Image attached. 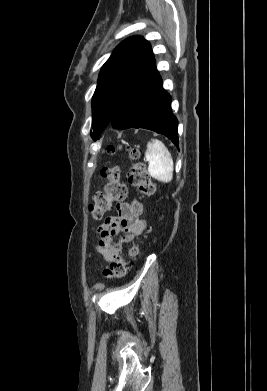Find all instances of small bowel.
<instances>
[{"mask_svg": "<svg viewBox=\"0 0 267 391\" xmlns=\"http://www.w3.org/2000/svg\"><path fill=\"white\" fill-rule=\"evenodd\" d=\"M117 211L118 217L107 218L99 227L96 249L106 262L119 257L122 254V244L132 242L146 228V222L140 218L143 205L138 200L119 203ZM120 233H124L123 237L114 242L113 237Z\"/></svg>", "mask_w": 267, "mask_h": 391, "instance_id": "1", "label": "small bowel"}]
</instances>
